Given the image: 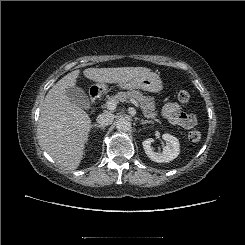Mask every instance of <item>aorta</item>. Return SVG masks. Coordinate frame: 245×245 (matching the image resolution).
Returning <instances> with one entry per match:
<instances>
[{
    "label": "aorta",
    "mask_w": 245,
    "mask_h": 245,
    "mask_svg": "<svg viewBox=\"0 0 245 245\" xmlns=\"http://www.w3.org/2000/svg\"><path fill=\"white\" fill-rule=\"evenodd\" d=\"M116 129L119 132H128L131 129V122L128 119L120 118L116 122Z\"/></svg>",
    "instance_id": "1"
}]
</instances>
